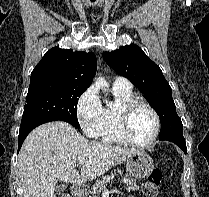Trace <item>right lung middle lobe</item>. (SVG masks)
I'll list each match as a JSON object with an SVG mask.
<instances>
[{
    "label": "right lung middle lobe",
    "instance_id": "right-lung-middle-lobe-1",
    "mask_svg": "<svg viewBox=\"0 0 209 197\" xmlns=\"http://www.w3.org/2000/svg\"><path fill=\"white\" fill-rule=\"evenodd\" d=\"M87 88L68 82H30L20 127L61 120L79 128L77 103Z\"/></svg>",
    "mask_w": 209,
    "mask_h": 197
}]
</instances>
